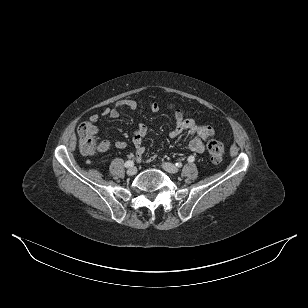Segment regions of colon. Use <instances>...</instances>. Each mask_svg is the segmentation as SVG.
I'll return each mask as SVG.
<instances>
[{
    "label": "colon",
    "mask_w": 308,
    "mask_h": 308,
    "mask_svg": "<svg viewBox=\"0 0 308 308\" xmlns=\"http://www.w3.org/2000/svg\"><path fill=\"white\" fill-rule=\"evenodd\" d=\"M180 111V110H177ZM98 126L92 117L84 121L78 128L80 149L84 154H93L96 152L99 140H98ZM210 161L214 164H218L223 160L224 146L221 142L216 140L209 141L207 145Z\"/></svg>",
    "instance_id": "obj_1"
}]
</instances>
